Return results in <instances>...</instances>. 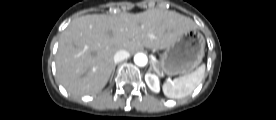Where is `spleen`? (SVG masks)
Masks as SVG:
<instances>
[{"mask_svg":"<svg viewBox=\"0 0 276 120\" xmlns=\"http://www.w3.org/2000/svg\"><path fill=\"white\" fill-rule=\"evenodd\" d=\"M205 73V65L202 64L194 72L167 81L163 84V93L168 98H183L190 95L193 90L201 83Z\"/></svg>","mask_w":276,"mask_h":120,"instance_id":"obj_1","label":"spleen"}]
</instances>
